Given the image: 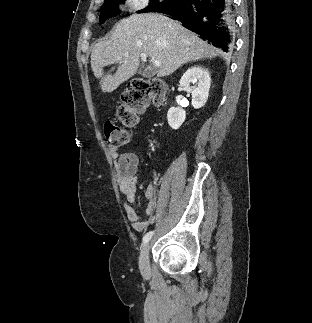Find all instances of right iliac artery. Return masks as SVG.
<instances>
[{
    "label": "right iliac artery",
    "mask_w": 312,
    "mask_h": 323,
    "mask_svg": "<svg viewBox=\"0 0 312 323\" xmlns=\"http://www.w3.org/2000/svg\"><path fill=\"white\" fill-rule=\"evenodd\" d=\"M153 234H154V231H150V232L146 233L144 235V237H143V243L144 244L147 243L151 239V237L153 236Z\"/></svg>",
    "instance_id": "1"
}]
</instances>
